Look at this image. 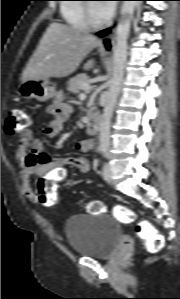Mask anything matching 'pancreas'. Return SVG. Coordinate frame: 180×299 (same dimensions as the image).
Here are the masks:
<instances>
[{"instance_id": "pancreas-1", "label": "pancreas", "mask_w": 180, "mask_h": 299, "mask_svg": "<svg viewBox=\"0 0 180 299\" xmlns=\"http://www.w3.org/2000/svg\"><path fill=\"white\" fill-rule=\"evenodd\" d=\"M84 84H89V77L86 74L76 75L69 80L67 90L73 94H78L83 90ZM91 112H89V115H91Z\"/></svg>"}]
</instances>
